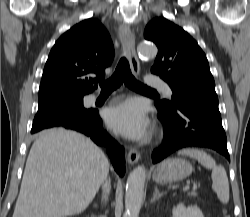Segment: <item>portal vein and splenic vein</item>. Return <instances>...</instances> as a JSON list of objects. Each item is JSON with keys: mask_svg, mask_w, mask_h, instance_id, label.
<instances>
[{"mask_svg": "<svg viewBox=\"0 0 250 217\" xmlns=\"http://www.w3.org/2000/svg\"><path fill=\"white\" fill-rule=\"evenodd\" d=\"M189 188H190V185L187 184V185L183 188V190H188ZM193 188H194V189L197 188V185H194Z\"/></svg>", "mask_w": 250, "mask_h": 217, "instance_id": "obj_1", "label": "portal vein and splenic vein"}]
</instances>
